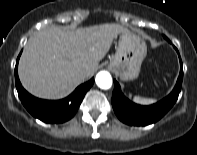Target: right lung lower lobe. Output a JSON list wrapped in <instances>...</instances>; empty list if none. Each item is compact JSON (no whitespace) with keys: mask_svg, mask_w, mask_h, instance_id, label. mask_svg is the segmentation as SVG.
I'll use <instances>...</instances> for the list:
<instances>
[{"mask_svg":"<svg viewBox=\"0 0 197 155\" xmlns=\"http://www.w3.org/2000/svg\"><path fill=\"white\" fill-rule=\"evenodd\" d=\"M15 67V82L18 96L24 107L35 118L45 123H63L71 119L77 112L85 94L94 83V78L80 85L68 97L61 100H43L29 94L21 85L18 77V61Z\"/></svg>","mask_w":197,"mask_h":155,"instance_id":"obj_1","label":"right lung lower lobe"}]
</instances>
